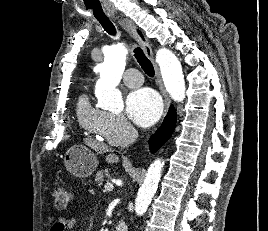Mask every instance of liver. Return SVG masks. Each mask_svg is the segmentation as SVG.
Wrapping results in <instances>:
<instances>
[{"label":"liver","mask_w":268,"mask_h":231,"mask_svg":"<svg viewBox=\"0 0 268 231\" xmlns=\"http://www.w3.org/2000/svg\"><path fill=\"white\" fill-rule=\"evenodd\" d=\"M85 143H86V145H88L89 147H91L93 150H95L98 153H106V152H109L111 150L108 146H106L105 144L100 143L96 140L85 139ZM106 161L108 163H117V162H119V157L116 154L109 153L106 156Z\"/></svg>","instance_id":"liver-1"}]
</instances>
